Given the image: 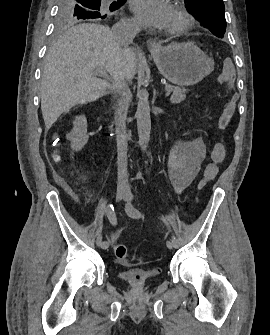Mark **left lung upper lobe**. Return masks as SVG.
<instances>
[{"label": "left lung upper lobe", "mask_w": 270, "mask_h": 335, "mask_svg": "<svg viewBox=\"0 0 270 335\" xmlns=\"http://www.w3.org/2000/svg\"><path fill=\"white\" fill-rule=\"evenodd\" d=\"M187 11L201 25L217 37L223 38L226 31L225 7L222 0H185Z\"/></svg>", "instance_id": "left-lung-upper-lobe-1"}]
</instances>
